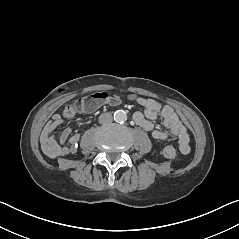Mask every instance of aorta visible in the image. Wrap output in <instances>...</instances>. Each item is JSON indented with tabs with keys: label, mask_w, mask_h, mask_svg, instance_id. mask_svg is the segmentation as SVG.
<instances>
[{
	"label": "aorta",
	"mask_w": 239,
	"mask_h": 239,
	"mask_svg": "<svg viewBox=\"0 0 239 239\" xmlns=\"http://www.w3.org/2000/svg\"><path fill=\"white\" fill-rule=\"evenodd\" d=\"M114 120L118 123L125 122L127 120L126 112L124 110L115 111Z\"/></svg>",
	"instance_id": "762f6f07"
}]
</instances>
